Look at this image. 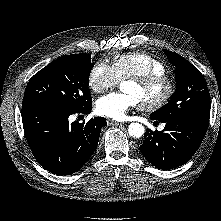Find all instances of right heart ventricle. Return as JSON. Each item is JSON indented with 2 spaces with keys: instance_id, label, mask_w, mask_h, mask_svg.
Wrapping results in <instances>:
<instances>
[{
  "instance_id": "obj_1",
  "label": "right heart ventricle",
  "mask_w": 221,
  "mask_h": 221,
  "mask_svg": "<svg viewBox=\"0 0 221 221\" xmlns=\"http://www.w3.org/2000/svg\"><path fill=\"white\" fill-rule=\"evenodd\" d=\"M111 67L118 80L166 72V66L161 60L142 52L116 55L112 60Z\"/></svg>"
}]
</instances>
